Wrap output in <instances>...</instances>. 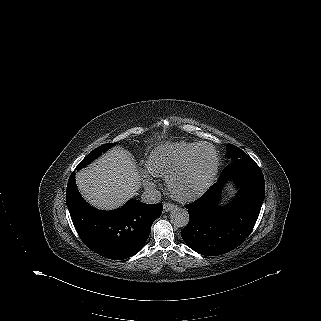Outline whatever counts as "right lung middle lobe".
Returning a JSON list of instances; mask_svg holds the SVG:
<instances>
[{"mask_svg": "<svg viewBox=\"0 0 321 321\" xmlns=\"http://www.w3.org/2000/svg\"><path fill=\"white\" fill-rule=\"evenodd\" d=\"M113 145H114L113 143H107L91 151L76 167L77 170L88 165L90 162H92L94 159L100 156L103 152H106L108 149H110Z\"/></svg>", "mask_w": 321, "mask_h": 321, "instance_id": "obj_1", "label": "right lung middle lobe"}]
</instances>
